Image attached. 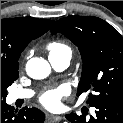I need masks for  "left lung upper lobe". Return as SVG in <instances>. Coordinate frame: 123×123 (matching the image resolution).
Listing matches in <instances>:
<instances>
[{"mask_svg": "<svg viewBox=\"0 0 123 123\" xmlns=\"http://www.w3.org/2000/svg\"><path fill=\"white\" fill-rule=\"evenodd\" d=\"M50 31L62 33L79 48L83 69L78 96L90 92V106L123 100V37L110 24L97 17L71 16L58 20Z\"/></svg>", "mask_w": 123, "mask_h": 123, "instance_id": "obj_1", "label": "left lung upper lobe"}]
</instances>
